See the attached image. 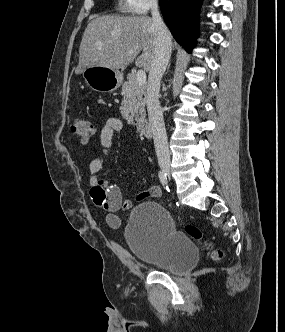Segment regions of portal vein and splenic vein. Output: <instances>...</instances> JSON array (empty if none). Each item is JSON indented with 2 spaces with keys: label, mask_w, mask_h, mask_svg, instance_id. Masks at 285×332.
Wrapping results in <instances>:
<instances>
[{
  "label": "portal vein and splenic vein",
  "mask_w": 285,
  "mask_h": 332,
  "mask_svg": "<svg viewBox=\"0 0 285 332\" xmlns=\"http://www.w3.org/2000/svg\"><path fill=\"white\" fill-rule=\"evenodd\" d=\"M136 77L139 85H144L146 83V73L144 70H138Z\"/></svg>",
  "instance_id": "portal-vein-and-splenic-vein-1"
}]
</instances>
